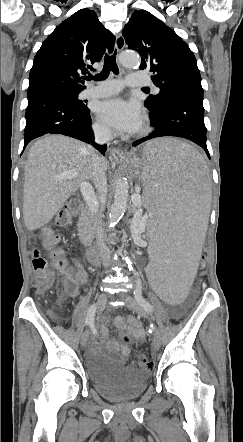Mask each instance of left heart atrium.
I'll return each instance as SVG.
<instances>
[{
    "mask_svg": "<svg viewBox=\"0 0 243 442\" xmlns=\"http://www.w3.org/2000/svg\"><path fill=\"white\" fill-rule=\"evenodd\" d=\"M97 113L105 124L119 132H135L142 124L139 103L121 97L102 101L97 107Z\"/></svg>",
    "mask_w": 243,
    "mask_h": 442,
    "instance_id": "left-heart-atrium-1",
    "label": "left heart atrium"
}]
</instances>
